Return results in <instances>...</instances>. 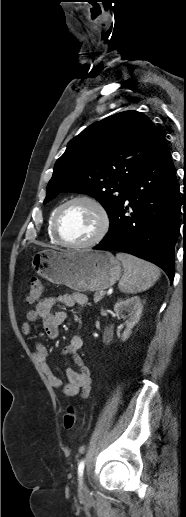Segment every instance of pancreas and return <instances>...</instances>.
Returning <instances> with one entry per match:
<instances>
[{
	"label": "pancreas",
	"mask_w": 186,
	"mask_h": 517,
	"mask_svg": "<svg viewBox=\"0 0 186 517\" xmlns=\"http://www.w3.org/2000/svg\"><path fill=\"white\" fill-rule=\"evenodd\" d=\"M103 297H104V295L100 294V291H96L94 293V302L95 303L99 302Z\"/></svg>",
	"instance_id": "pancreas-1"
}]
</instances>
